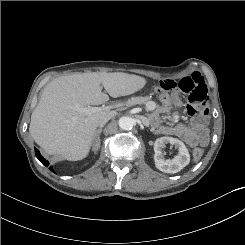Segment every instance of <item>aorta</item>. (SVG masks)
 I'll use <instances>...</instances> for the list:
<instances>
[{
	"instance_id": "obj_1",
	"label": "aorta",
	"mask_w": 245,
	"mask_h": 245,
	"mask_svg": "<svg viewBox=\"0 0 245 245\" xmlns=\"http://www.w3.org/2000/svg\"><path fill=\"white\" fill-rule=\"evenodd\" d=\"M119 127L123 130H131L135 125V119L129 116H123L119 119Z\"/></svg>"
}]
</instances>
